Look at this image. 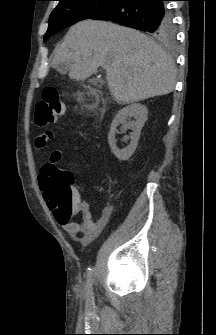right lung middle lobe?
Returning a JSON list of instances; mask_svg holds the SVG:
<instances>
[{
	"label": "right lung middle lobe",
	"instance_id": "obj_1",
	"mask_svg": "<svg viewBox=\"0 0 216 335\" xmlns=\"http://www.w3.org/2000/svg\"><path fill=\"white\" fill-rule=\"evenodd\" d=\"M58 6L53 10L49 19L48 31L44 36V41L58 31L69 27L79 21L92 19L95 15L106 9L116 0H58ZM172 22V20H171ZM162 40H172L174 38L173 25L163 32L155 35Z\"/></svg>",
	"mask_w": 216,
	"mask_h": 335
}]
</instances>
